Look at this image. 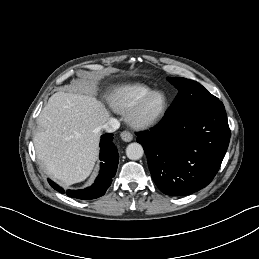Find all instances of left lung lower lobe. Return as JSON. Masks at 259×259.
Masks as SVG:
<instances>
[{"mask_svg": "<svg viewBox=\"0 0 259 259\" xmlns=\"http://www.w3.org/2000/svg\"><path fill=\"white\" fill-rule=\"evenodd\" d=\"M229 141L221 101L166 115L137 138L154 182L171 196L189 195L206 187L218 172Z\"/></svg>", "mask_w": 259, "mask_h": 259, "instance_id": "0a47b994", "label": "left lung lower lobe"}]
</instances>
